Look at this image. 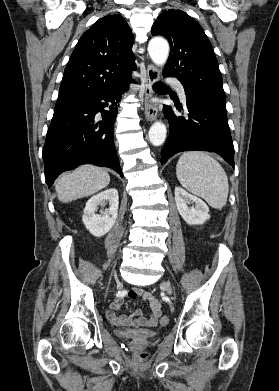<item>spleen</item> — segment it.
I'll use <instances>...</instances> for the list:
<instances>
[{"mask_svg": "<svg viewBox=\"0 0 279 391\" xmlns=\"http://www.w3.org/2000/svg\"><path fill=\"white\" fill-rule=\"evenodd\" d=\"M181 185L215 209H222L228 198L227 175L212 156L202 151L185 152L176 166Z\"/></svg>", "mask_w": 279, "mask_h": 391, "instance_id": "1", "label": "spleen"}]
</instances>
